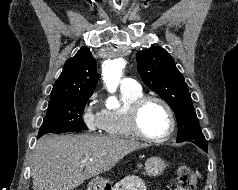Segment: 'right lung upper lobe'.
<instances>
[{
	"label": "right lung upper lobe",
	"mask_w": 238,
	"mask_h": 190,
	"mask_svg": "<svg viewBox=\"0 0 238 190\" xmlns=\"http://www.w3.org/2000/svg\"><path fill=\"white\" fill-rule=\"evenodd\" d=\"M97 80L96 61L89 48L82 47L74 57L66 61L53 86L50 100L74 95H91L96 88Z\"/></svg>",
	"instance_id": "cb5924a9"
}]
</instances>
